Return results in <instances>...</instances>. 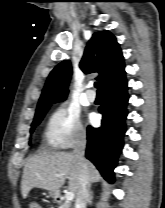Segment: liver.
Listing matches in <instances>:
<instances>
[{
  "label": "liver",
  "instance_id": "1",
  "mask_svg": "<svg viewBox=\"0 0 165 208\" xmlns=\"http://www.w3.org/2000/svg\"><path fill=\"white\" fill-rule=\"evenodd\" d=\"M90 183L97 182L101 176L96 167L84 159ZM59 174V177L55 175ZM69 179V190L77 197L80 189L79 168L73 153H52L39 151L28 158L21 181V193L26 198L34 187L59 193V189Z\"/></svg>",
  "mask_w": 165,
  "mask_h": 208
}]
</instances>
